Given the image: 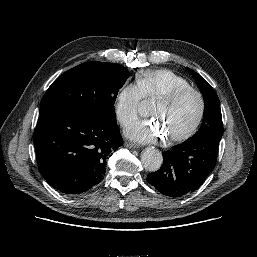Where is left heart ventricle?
Here are the masks:
<instances>
[{
  "mask_svg": "<svg viewBox=\"0 0 257 257\" xmlns=\"http://www.w3.org/2000/svg\"><path fill=\"white\" fill-rule=\"evenodd\" d=\"M199 109L197 97L189 93L172 105L155 102L151 114L158 118L168 137L181 134L195 120Z\"/></svg>",
  "mask_w": 257,
  "mask_h": 257,
  "instance_id": "obj_1",
  "label": "left heart ventricle"
}]
</instances>
